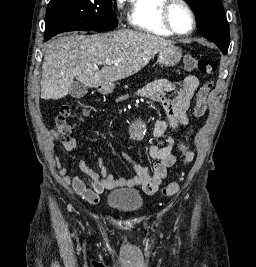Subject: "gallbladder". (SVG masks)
<instances>
[{
    "mask_svg": "<svg viewBox=\"0 0 256 267\" xmlns=\"http://www.w3.org/2000/svg\"><path fill=\"white\" fill-rule=\"evenodd\" d=\"M69 94L72 98H83L85 94H88V86H84L81 82H73Z\"/></svg>",
    "mask_w": 256,
    "mask_h": 267,
    "instance_id": "gallbladder-1",
    "label": "gallbladder"
}]
</instances>
